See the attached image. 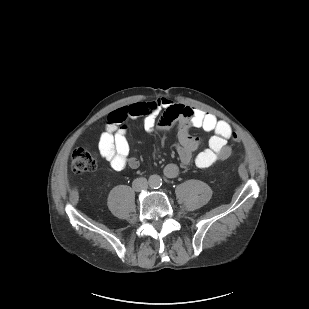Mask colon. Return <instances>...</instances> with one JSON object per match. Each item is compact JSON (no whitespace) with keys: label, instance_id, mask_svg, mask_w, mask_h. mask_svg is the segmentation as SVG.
I'll return each instance as SVG.
<instances>
[{"label":"colon","instance_id":"5ec220e1","mask_svg":"<svg viewBox=\"0 0 309 309\" xmlns=\"http://www.w3.org/2000/svg\"><path fill=\"white\" fill-rule=\"evenodd\" d=\"M231 139L235 142L239 140L236 133H232ZM97 157L94 152L86 147L76 148L71 155V170L76 174L92 172L96 169Z\"/></svg>","mask_w":309,"mask_h":309}]
</instances>
